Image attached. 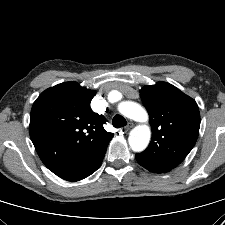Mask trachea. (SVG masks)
<instances>
[{
	"mask_svg": "<svg viewBox=\"0 0 225 225\" xmlns=\"http://www.w3.org/2000/svg\"><path fill=\"white\" fill-rule=\"evenodd\" d=\"M112 124L115 128H121V127H124L127 124V122L123 116L115 115L113 118Z\"/></svg>",
	"mask_w": 225,
	"mask_h": 225,
	"instance_id": "1",
	"label": "trachea"
}]
</instances>
